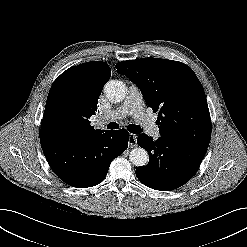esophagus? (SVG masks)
I'll return each mask as SVG.
<instances>
[{
    "label": "esophagus",
    "mask_w": 247,
    "mask_h": 247,
    "mask_svg": "<svg viewBox=\"0 0 247 247\" xmlns=\"http://www.w3.org/2000/svg\"><path fill=\"white\" fill-rule=\"evenodd\" d=\"M128 146L130 148H134L137 146V136L135 134H129V138H128Z\"/></svg>",
    "instance_id": "1"
}]
</instances>
